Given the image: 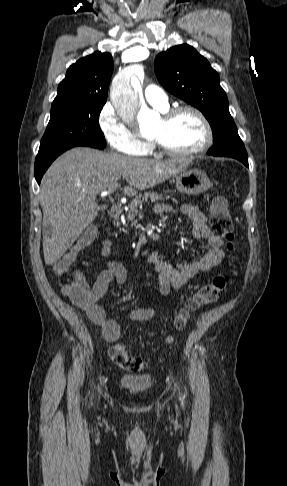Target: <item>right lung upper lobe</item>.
Masks as SVG:
<instances>
[{
	"label": "right lung upper lobe",
	"mask_w": 287,
	"mask_h": 486,
	"mask_svg": "<svg viewBox=\"0 0 287 486\" xmlns=\"http://www.w3.org/2000/svg\"><path fill=\"white\" fill-rule=\"evenodd\" d=\"M113 66L110 53L95 52L81 58L68 68L52 106L83 101L106 102Z\"/></svg>",
	"instance_id": "obj_1"
}]
</instances>
